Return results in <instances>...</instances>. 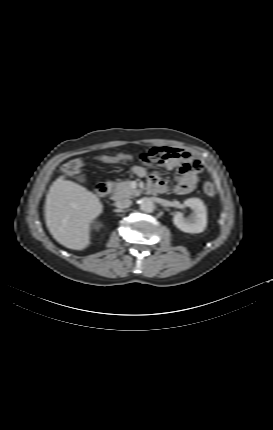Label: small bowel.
Returning a JSON list of instances; mask_svg holds the SVG:
<instances>
[{"mask_svg":"<svg viewBox=\"0 0 273 430\" xmlns=\"http://www.w3.org/2000/svg\"><path fill=\"white\" fill-rule=\"evenodd\" d=\"M119 160H131L132 157L128 154L119 153ZM141 158L146 165L157 164L164 166L167 170H180V175L177 179V184L174 191L177 194H187L191 192L197 182L198 177L203 171V166L193 157V155L185 150L173 147H153L146 153L141 155ZM132 172L137 176L144 177L147 171L142 166H133ZM149 188L152 192H165L168 189L167 183L162 178L160 173L149 175Z\"/></svg>","mask_w":273,"mask_h":430,"instance_id":"1","label":"small bowel"}]
</instances>
